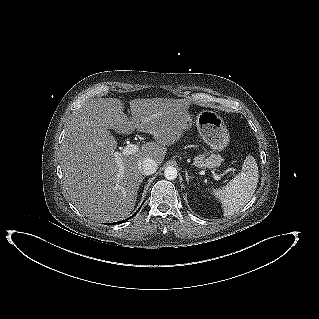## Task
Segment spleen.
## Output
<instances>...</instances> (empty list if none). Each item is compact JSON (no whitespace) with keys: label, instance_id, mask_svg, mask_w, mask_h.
Masks as SVG:
<instances>
[{"label":"spleen","instance_id":"1","mask_svg":"<svg viewBox=\"0 0 319 319\" xmlns=\"http://www.w3.org/2000/svg\"><path fill=\"white\" fill-rule=\"evenodd\" d=\"M259 171L253 156L244 160L241 172L226 186L213 189L212 194L221 201L225 216L242 209L252 198L258 184Z\"/></svg>","mask_w":319,"mask_h":319}]
</instances>
